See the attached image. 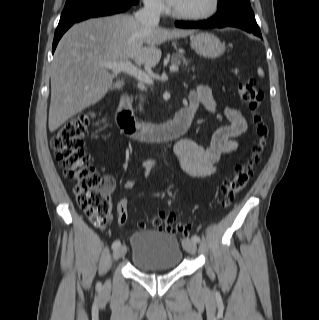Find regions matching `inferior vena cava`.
<instances>
[{
	"mask_svg": "<svg viewBox=\"0 0 319 320\" xmlns=\"http://www.w3.org/2000/svg\"><path fill=\"white\" fill-rule=\"evenodd\" d=\"M160 11V3L155 0H145L144 7L135 13V19L146 28L156 27L160 20Z\"/></svg>",
	"mask_w": 319,
	"mask_h": 320,
	"instance_id": "602c4592",
	"label": "inferior vena cava"
}]
</instances>
